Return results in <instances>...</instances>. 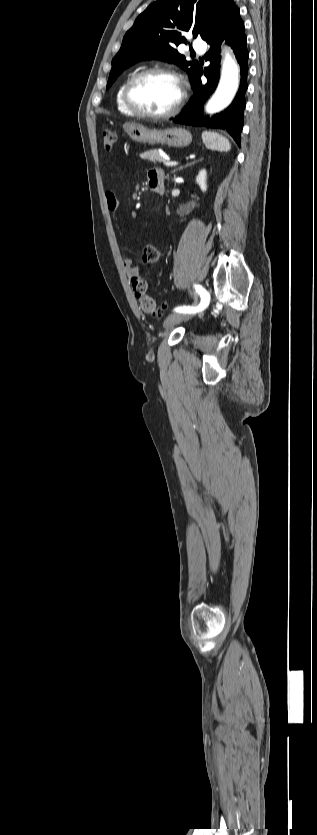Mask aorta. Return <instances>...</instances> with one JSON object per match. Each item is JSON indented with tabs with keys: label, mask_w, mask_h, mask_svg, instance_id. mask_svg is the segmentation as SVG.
Returning <instances> with one entry per match:
<instances>
[{
	"label": "aorta",
	"mask_w": 317,
	"mask_h": 835,
	"mask_svg": "<svg viewBox=\"0 0 317 835\" xmlns=\"http://www.w3.org/2000/svg\"><path fill=\"white\" fill-rule=\"evenodd\" d=\"M238 87L239 67L231 54L226 51L220 81L213 96L206 104V113L215 114L227 108L234 99Z\"/></svg>",
	"instance_id": "obj_1"
}]
</instances>
